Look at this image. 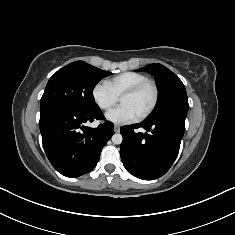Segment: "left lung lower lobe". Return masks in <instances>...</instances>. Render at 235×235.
<instances>
[{
  "mask_svg": "<svg viewBox=\"0 0 235 235\" xmlns=\"http://www.w3.org/2000/svg\"><path fill=\"white\" fill-rule=\"evenodd\" d=\"M185 118L179 114H167L121 127L120 154L126 170L144 180L164 175L178 155ZM139 127L147 132L137 133L135 129Z\"/></svg>",
  "mask_w": 235,
  "mask_h": 235,
  "instance_id": "1",
  "label": "left lung lower lobe"
}]
</instances>
